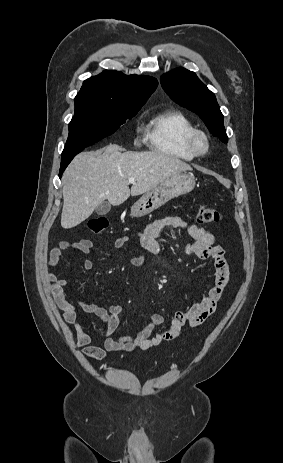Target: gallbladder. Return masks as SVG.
<instances>
[{"label": "gallbladder", "mask_w": 283, "mask_h": 463, "mask_svg": "<svg viewBox=\"0 0 283 463\" xmlns=\"http://www.w3.org/2000/svg\"><path fill=\"white\" fill-rule=\"evenodd\" d=\"M110 210L111 204L108 201H104L95 209V212L98 215H106Z\"/></svg>", "instance_id": "bac80fb5"}]
</instances>
